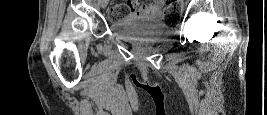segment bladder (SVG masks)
I'll use <instances>...</instances> for the list:
<instances>
[{"mask_svg":"<svg viewBox=\"0 0 267 115\" xmlns=\"http://www.w3.org/2000/svg\"><path fill=\"white\" fill-rule=\"evenodd\" d=\"M158 18V14H127L111 24V31L127 42L158 41L169 34L168 29L157 23Z\"/></svg>","mask_w":267,"mask_h":115,"instance_id":"obj_1","label":"bladder"}]
</instances>
